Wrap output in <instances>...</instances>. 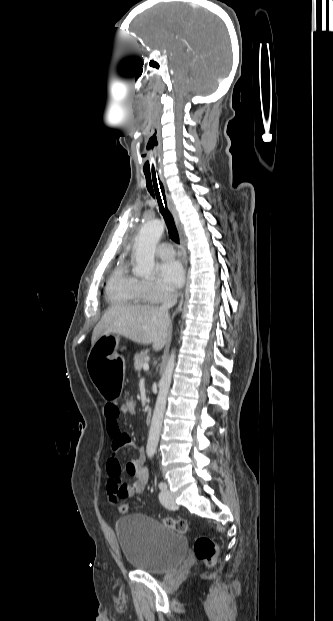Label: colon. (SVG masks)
Segmentation results:
<instances>
[{
  "label": "colon",
  "instance_id": "obj_1",
  "mask_svg": "<svg viewBox=\"0 0 333 621\" xmlns=\"http://www.w3.org/2000/svg\"><path fill=\"white\" fill-rule=\"evenodd\" d=\"M120 407L126 415H135L137 412V402L131 395L121 398ZM118 509L121 513H127L130 510L129 505L126 503L119 504ZM164 524L181 534H186L190 530L189 524L183 519L167 518L164 520ZM194 552L197 559L204 562L207 566H214L217 562L218 546L207 536H200L196 539Z\"/></svg>",
  "mask_w": 333,
  "mask_h": 621
}]
</instances>
